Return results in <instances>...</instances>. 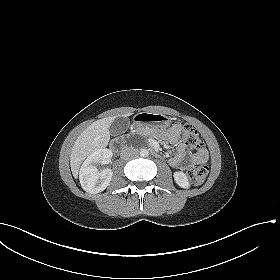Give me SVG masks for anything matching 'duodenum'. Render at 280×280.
Returning a JSON list of instances; mask_svg holds the SVG:
<instances>
[{
    "label": "duodenum",
    "instance_id": "410a0bca",
    "mask_svg": "<svg viewBox=\"0 0 280 280\" xmlns=\"http://www.w3.org/2000/svg\"><path fill=\"white\" fill-rule=\"evenodd\" d=\"M125 146L123 145L122 141L121 140H115L113 143H112V148L113 150L117 151V150H120V149H123Z\"/></svg>",
    "mask_w": 280,
    "mask_h": 280
}]
</instances>
